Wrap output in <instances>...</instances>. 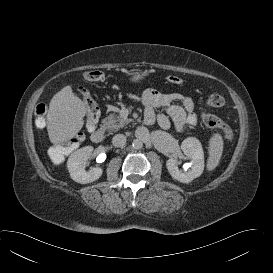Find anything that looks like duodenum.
Listing matches in <instances>:
<instances>
[{
    "instance_id": "1",
    "label": "duodenum",
    "mask_w": 273,
    "mask_h": 273,
    "mask_svg": "<svg viewBox=\"0 0 273 273\" xmlns=\"http://www.w3.org/2000/svg\"><path fill=\"white\" fill-rule=\"evenodd\" d=\"M144 120H145V118H144ZM104 136H105V130H104V127H102V126L95 129L91 134V138L94 143L102 142L104 139Z\"/></svg>"
}]
</instances>
